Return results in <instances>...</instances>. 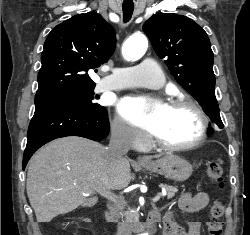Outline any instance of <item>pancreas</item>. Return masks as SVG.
Instances as JSON below:
<instances>
[{
	"label": "pancreas",
	"instance_id": "cf45deb5",
	"mask_svg": "<svg viewBox=\"0 0 250 235\" xmlns=\"http://www.w3.org/2000/svg\"><path fill=\"white\" fill-rule=\"evenodd\" d=\"M163 188L167 191V198L168 199L173 198L175 193L178 191L177 187H173V186H169V185H165V186H163ZM118 201L121 202V199H118ZM124 215L126 217V220L129 222L138 219V213L134 209H128L124 213Z\"/></svg>",
	"mask_w": 250,
	"mask_h": 235
}]
</instances>
